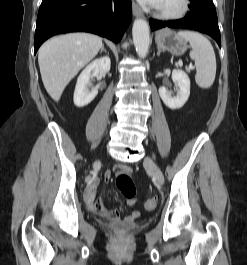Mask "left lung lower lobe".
Listing matches in <instances>:
<instances>
[{"label":"left lung lower lobe","instance_id":"1","mask_svg":"<svg viewBox=\"0 0 247 265\" xmlns=\"http://www.w3.org/2000/svg\"><path fill=\"white\" fill-rule=\"evenodd\" d=\"M190 12L186 17L176 21L162 22L150 19L151 29L157 30L159 28L168 26L171 28H187L194 29L210 35L216 40L219 47H221V37L218 27V19L215 6L212 0H190Z\"/></svg>","mask_w":247,"mask_h":265}]
</instances>
